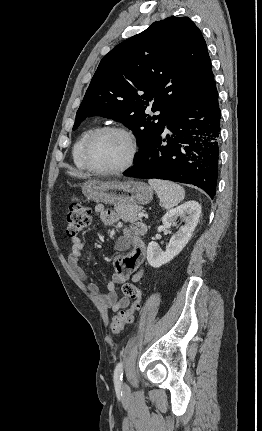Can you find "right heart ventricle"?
Here are the masks:
<instances>
[{
	"instance_id": "right-heart-ventricle-1",
	"label": "right heart ventricle",
	"mask_w": 262,
	"mask_h": 431,
	"mask_svg": "<svg viewBox=\"0 0 262 431\" xmlns=\"http://www.w3.org/2000/svg\"><path fill=\"white\" fill-rule=\"evenodd\" d=\"M98 129L97 126H93L84 131L76 140L72 148V162L75 168L78 170L88 171L89 169L85 165L82 157L84 145L89 136Z\"/></svg>"
}]
</instances>
